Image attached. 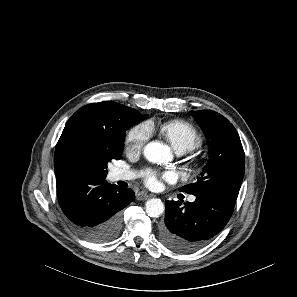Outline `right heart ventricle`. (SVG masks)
<instances>
[{"label":"right heart ventricle","mask_w":297,"mask_h":297,"mask_svg":"<svg viewBox=\"0 0 297 297\" xmlns=\"http://www.w3.org/2000/svg\"><path fill=\"white\" fill-rule=\"evenodd\" d=\"M150 128L153 130L154 125L150 124ZM159 130L172 147L181 153L195 149L202 142L198 129L187 121L171 120L163 123Z\"/></svg>","instance_id":"1"}]
</instances>
